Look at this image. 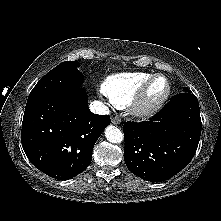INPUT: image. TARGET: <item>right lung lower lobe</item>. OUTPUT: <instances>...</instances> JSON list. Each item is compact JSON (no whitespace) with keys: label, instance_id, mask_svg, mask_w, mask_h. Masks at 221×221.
Segmentation results:
<instances>
[{"label":"right lung lower lobe","instance_id":"obj_1","mask_svg":"<svg viewBox=\"0 0 221 221\" xmlns=\"http://www.w3.org/2000/svg\"><path fill=\"white\" fill-rule=\"evenodd\" d=\"M109 124L108 115L89 110L80 87L27 102L21 142L35 167L57 179H68L89 166L94 144Z\"/></svg>","mask_w":221,"mask_h":221}]
</instances>
